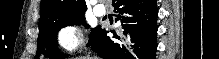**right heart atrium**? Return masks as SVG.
<instances>
[{
	"label": "right heart atrium",
	"instance_id": "right-heart-atrium-1",
	"mask_svg": "<svg viewBox=\"0 0 219 59\" xmlns=\"http://www.w3.org/2000/svg\"><path fill=\"white\" fill-rule=\"evenodd\" d=\"M56 41L60 48L72 53L83 45V36L78 27L68 25L59 30Z\"/></svg>",
	"mask_w": 219,
	"mask_h": 59
}]
</instances>
